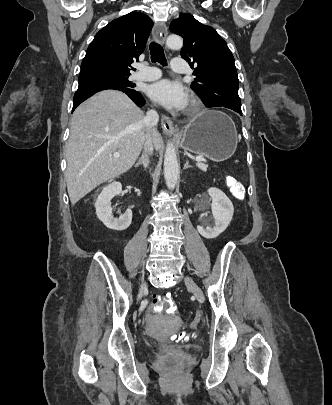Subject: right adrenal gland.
Masks as SVG:
<instances>
[{
    "instance_id": "obj_1",
    "label": "right adrenal gland",
    "mask_w": 332,
    "mask_h": 405,
    "mask_svg": "<svg viewBox=\"0 0 332 405\" xmlns=\"http://www.w3.org/2000/svg\"><path fill=\"white\" fill-rule=\"evenodd\" d=\"M149 157L147 153H143L141 158L137 161V163L135 164V167H138L140 165H143L144 170H147L149 168Z\"/></svg>"
}]
</instances>
